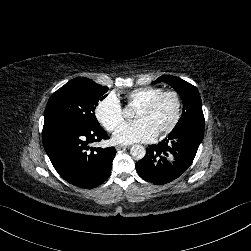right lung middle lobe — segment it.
<instances>
[{
    "instance_id": "dd1d6c3e",
    "label": "right lung middle lobe",
    "mask_w": 251,
    "mask_h": 251,
    "mask_svg": "<svg viewBox=\"0 0 251 251\" xmlns=\"http://www.w3.org/2000/svg\"><path fill=\"white\" fill-rule=\"evenodd\" d=\"M107 91L108 87L88 78H74L52 94L45 109V119L65 118L83 125L97 123L94 110L98 101L107 96Z\"/></svg>"
}]
</instances>
